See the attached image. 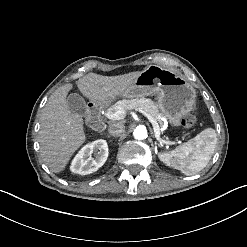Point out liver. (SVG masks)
<instances>
[{"label": "liver", "mask_w": 247, "mask_h": 247, "mask_svg": "<svg viewBox=\"0 0 247 247\" xmlns=\"http://www.w3.org/2000/svg\"><path fill=\"white\" fill-rule=\"evenodd\" d=\"M140 71L118 76L88 73L76 81L80 92L93 103L121 96L130 88ZM72 84H65L49 97L40 117L39 143L45 164L54 173L64 170L73 153L85 142L83 119L72 113L66 97Z\"/></svg>", "instance_id": "obj_1"}]
</instances>
